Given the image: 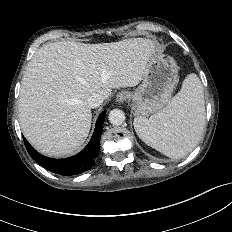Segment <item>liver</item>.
Masks as SVG:
<instances>
[{"label":"liver","instance_id":"6515ba94","mask_svg":"<svg viewBox=\"0 0 232 232\" xmlns=\"http://www.w3.org/2000/svg\"><path fill=\"white\" fill-rule=\"evenodd\" d=\"M154 53V43L147 38L44 44L28 63L21 83L19 120L24 136L42 154H72L90 131L87 99L94 93L107 99L112 89L138 85Z\"/></svg>","mask_w":232,"mask_h":232}]
</instances>
